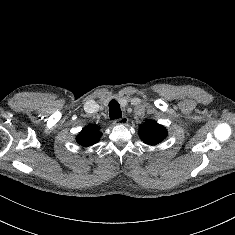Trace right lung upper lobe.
I'll return each mask as SVG.
<instances>
[{"label": "right lung upper lobe", "mask_w": 235, "mask_h": 235, "mask_svg": "<svg viewBox=\"0 0 235 235\" xmlns=\"http://www.w3.org/2000/svg\"><path fill=\"white\" fill-rule=\"evenodd\" d=\"M101 135L98 126L90 124L83 128L76 140L80 145L88 147L99 142Z\"/></svg>", "instance_id": "cb5924a9"}]
</instances>
